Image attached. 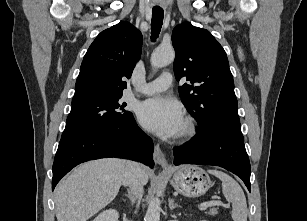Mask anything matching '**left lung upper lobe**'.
<instances>
[{
	"mask_svg": "<svg viewBox=\"0 0 307 221\" xmlns=\"http://www.w3.org/2000/svg\"><path fill=\"white\" fill-rule=\"evenodd\" d=\"M172 43L175 77L178 81L187 77L191 83L179 87V94L201 133L221 132L244 141L234 81L222 46L209 31L190 23L174 28Z\"/></svg>",
	"mask_w": 307,
	"mask_h": 221,
	"instance_id": "1",
	"label": "left lung upper lobe"
}]
</instances>
